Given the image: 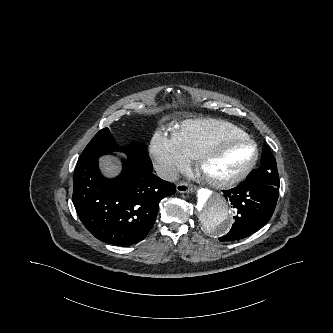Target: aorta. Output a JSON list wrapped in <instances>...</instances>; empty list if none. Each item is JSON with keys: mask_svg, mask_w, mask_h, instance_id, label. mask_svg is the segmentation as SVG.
<instances>
[{"mask_svg": "<svg viewBox=\"0 0 333 333\" xmlns=\"http://www.w3.org/2000/svg\"><path fill=\"white\" fill-rule=\"evenodd\" d=\"M194 213L200 225L212 234L224 232L230 223V205L219 192L199 190L194 201Z\"/></svg>", "mask_w": 333, "mask_h": 333, "instance_id": "obj_1", "label": "aorta"}]
</instances>
